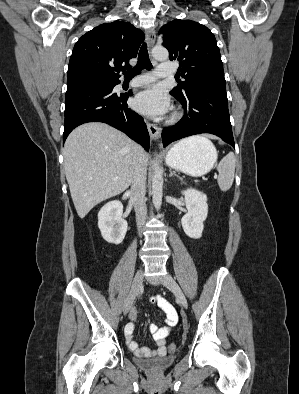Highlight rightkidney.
Here are the masks:
<instances>
[{
	"mask_svg": "<svg viewBox=\"0 0 299 394\" xmlns=\"http://www.w3.org/2000/svg\"><path fill=\"white\" fill-rule=\"evenodd\" d=\"M123 205L114 200L106 203L98 213V227L105 241L119 245L127 232V221L122 218Z\"/></svg>",
	"mask_w": 299,
	"mask_h": 394,
	"instance_id": "1",
	"label": "right kidney"
}]
</instances>
